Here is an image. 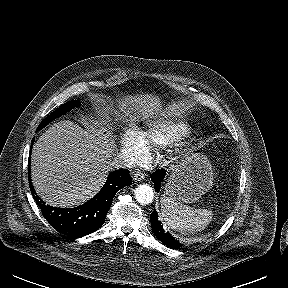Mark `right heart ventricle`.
<instances>
[{"mask_svg":"<svg viewBox=\"0 0 288 288\" xmlns=\"http://www.w3.org/2000/svg\"><path fill=\"white\" fill-rule=\"evenodd\" d=\"M189 125L178 119H160L150 123L140 134L146 147L167 146L183 137Z\"/></svg>","mask_w":288,"mask_h":288,"instance_id":"right-heart-ventricle-1","label":"right heart ventricle"}]
</instances>
